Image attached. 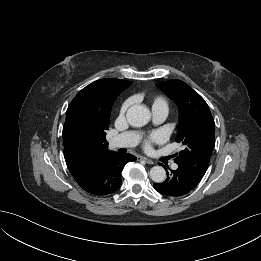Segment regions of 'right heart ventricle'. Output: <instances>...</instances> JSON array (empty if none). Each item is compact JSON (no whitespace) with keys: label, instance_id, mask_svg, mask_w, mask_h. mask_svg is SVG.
Here are the masks:
<instances>
[{"label":"right heart ventricle","instance_id":"obj_1","mask_svg":"<svg viewBox=\"0 0 261 261\" xmlns=\"http://www.w3.org/2000/svg\"><path fill=\"white\" fill-rule=\"evenodd\" d=\"M139 96H135L134 100L138 99ZM149 103L152 109V112H160L164 111L168 113L169 111V103L168 100L162 95H155L149 98Z\"/></svg>","mask_w":261,"mask_h":261}]
</instances>
